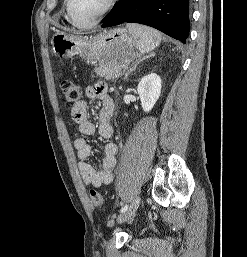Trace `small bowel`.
Segmentation results:
<instances>
[{
    "label": "small bowel",
    "mask_w": 247,
    "mask_h": 257,
    "mask_svg": "<svg viewBox=\"0 0 247 257\" xmlns=\"http://www.w3.org/2000/svg\"><path fill=\"white\" fill-rule=\"evenodd\" d=\"M85 96L88 99L97 98L101 101L102 106L98 117V133L104 139L112 138L114 128L111 120L114 112V103L107 93L106 85L104 83H96L87 86ZM71 116L80 134L88 136L95 133L96 127L89 119L88 106L85 101H79L72 106ZM74 147L77 151V157L80 160L78 169L85 184L93 188H99L112 183L118 152V147L115 143H107L103 147V161L100 170H96L87 161L92 154V148L84 138H77L74 141Z\"/></svg>",
    "instance_id": "small-bowel-1"
}]
</instances>
